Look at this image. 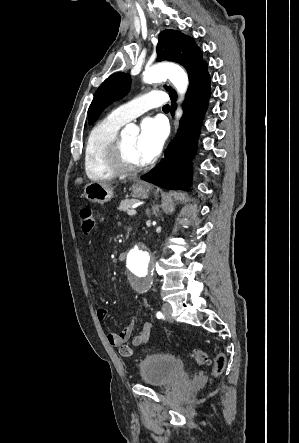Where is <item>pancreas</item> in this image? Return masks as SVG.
Wrapping results in <instances>:
<instances>
[{"instance_id":"obj_1","label":"pancreas","mask_w":299,"mask_h":443,"mask_svg":"<svg viewBox=\"0 0 299 443\" xmlns=\"http://www.w3.org/2000/svg\"><path fill=\"white\" fill-rule=\"evenodd\" d=\"M136 203H137L136 199H125V200L121 201L118 209L120 211H127L128 212L129 209Z\"/></svg>"}]
</instances>
